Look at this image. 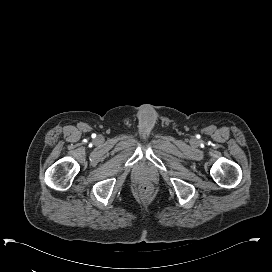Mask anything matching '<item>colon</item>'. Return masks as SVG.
Listing matches in <instances>:
<instances>
[{
    "label": "colon",
    "instance_id": "obj_1",
    "mask_svg": "<svg viewBox=\"0 0 272 272\" xmlns=\"http://www.w3.org/2000/svg\"><path fill=\"white\" fill-rule=\"evenodd\" d=\"M140 192L142 193V195L144 196H150L152 193V186L149 184H144L141 188H140Z\"/></svg>",
    "mask_w": 272,
    "mask_h": 272
}]
</instances>
